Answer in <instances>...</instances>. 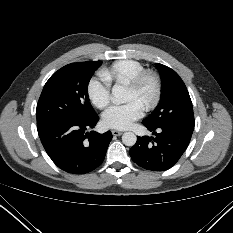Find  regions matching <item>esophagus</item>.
Listing matches in <instances>:
<instances>
[{
  "instance_id": "34e87169",
  "label": "esophagus",
  "mask_w": 233,
  "mask_h": 233,
  "mask_svg": "<svg viewBox=\"0 0 233 233\" xmlns=\"http://www.w3.org/2000/svg\"><path fill=\"white\" fill-rule=\"evenodd\" d=\"M112 134H113L114 136H120V135L123 134V132H122V131H119V130H112Z\"/></svg>"
}]
</instances>
